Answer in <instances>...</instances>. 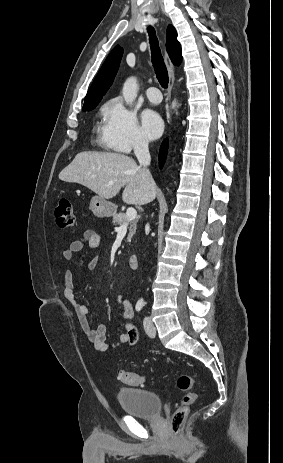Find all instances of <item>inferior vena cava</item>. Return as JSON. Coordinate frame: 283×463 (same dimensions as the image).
Segmentation results:
<instances>
[{
	"instance_id": "inferior-vena-cava-1",
	"label": "inferior vena cava",
	"mask_w": 283,
	"mask_h": 463,
	"mask_svg": "<svg viewBox=\"0 0 283 463\" xmlns=\"http://www.w3.org/2000/svg\"><path fill=\"white\" fill-rule=\"evenodd\" d=\"M134 154L137 157L140 166L145 171L146 182L148 184H153V178L150 171L147 169V166L150 165L151 156L148 148V141L145 138L138 137L134 143Z\"/></svg>"
}]
</instances>
